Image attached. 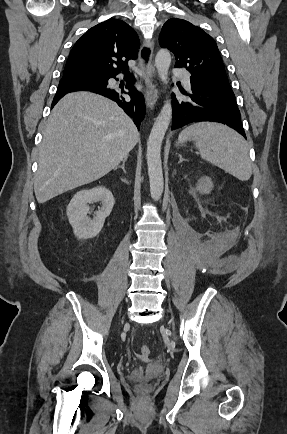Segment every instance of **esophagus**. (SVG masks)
<instances>
[{
    "instance_id": "obj_1",
    "label": "esophagus",
    "mask_w": 287,
    "mask_h": 434,
    "mask_svg": "<svg viewBox=\"0 0 287 434\" xmlns=\"http://www.w3.org/2000/svg\"><path fill=\"white\" fill-rule=\"evenodd\" d=\"M154 52V45L152 40L144 41L140 52L139 61L140 68L143 71L147 90L145 94L146 105L149 110H153L160 96V88L158 85L153 84L152 77L155 76V69L153 67L152 58Z\"/></svg>"
}]
</instances>
